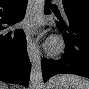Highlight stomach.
I'll return each instance as SVG.
<instances>
[{
    "label": "stomach",
    "instance_id": "1",
    "mask_svg": "<svg viewBox=\"0 0 89 89\" xmlns=\"http://www.w3.org/2000/svg\"><path fill=\"white\" fill-rule=\"evenodd\" d=\"M47 89H67V88H65V86L62 85L61 83L53 82L52 80L48 83Z\"/></svg>",
    "mask_w": 89,
    "mask_h": 89
}]
</instances>
